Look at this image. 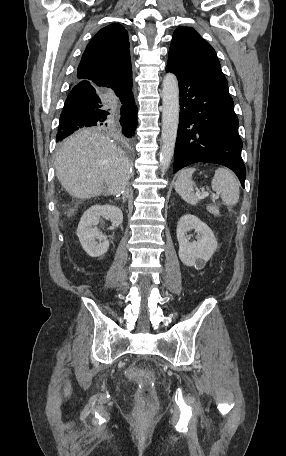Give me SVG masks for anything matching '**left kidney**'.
Wrapping results in <instances>:
<instances>
[{"mask_svg":"<svg viewBox=\"0 0 286 456\" xmlns=\"http://www.w3.org/2000/svg\"><path fill=\"white\" fill-rule=\"evenodd\" d=\"M192 229L197 233V241L189 242L187 232ZM176 233L181 262L202 269L217 249V240L212 230L198 217L186 214L178 221Z\"/></svg>","mask_w":286,"mask_h":456,"instance_id":"obj_1","label":"left kidney"}]
</instances>
